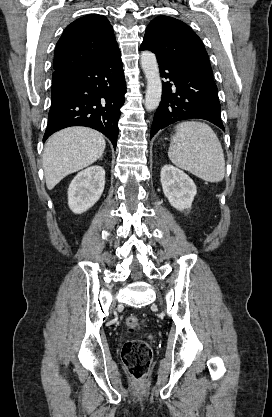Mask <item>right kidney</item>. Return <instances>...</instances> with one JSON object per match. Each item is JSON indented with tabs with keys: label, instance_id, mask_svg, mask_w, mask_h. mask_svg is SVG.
Segmentation results:
<instances>
[{
	"label": "right kidney",
	"instance_id": "ca27d5eb",
	"mask_svg": "<svg viewBox=\"0 0 272 417\" xmlns=\"http://www.w3.org/2000/svg\"><path fill=\"white\" fill-rule=\"evenodd\" d=\"M105 185V171L91 166L79 172L68 188V205L72 212L81 214L91 208L101 197Z\"/></svg>",
	"mask_w": 272,
	"mask_h": 417
}]
</instances>
